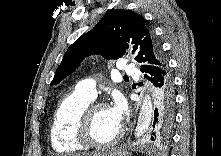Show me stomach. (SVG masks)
Wrapping results in <instances>:
<instances>
[{
    "mask_svg": "<svg viewBox=\"0 0 221 156\" xmlns=\"http://www.w3.org/2000/svg\"><path fill=\"white\" fill-rule=\"evenodd\" d=\"M105 156H127L125 152L120 150H112L105 154Z\"/></svg>",
    "mask_w": 221,
    "mask_h": 156,
    "instance_id": "1",
    "label": "stomach"
}]
</instances>
